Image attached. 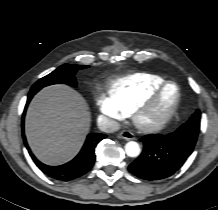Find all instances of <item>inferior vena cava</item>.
Here are the masks:
<instances>
[{"label":"inferior vena cava","instance_id":"obj_1","mask_svg":"<svg viewBox=\"0 0 218 210\" xmlns=\"http://www.w3.org/2000/svg\"><path fill=\"white\" fill-rule=\"evenodd\" d=\"M97 122L98 128L105 133H113L120 129V124L117 121L107 118L103 115L98 117Z\"/></svg>","mask_w":218,"mask_h":210}]
</instances>
